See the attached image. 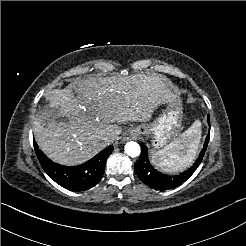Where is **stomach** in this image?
Segmentation results:
<instances>
[{"label":"stomach","mask_w":246,"mask_h":246,"mask_svg":"<svg viewBox=\"0 0 246 246\" xmlns=\"http://www.w3.org/2000/svg\"><path fill=\"white\" fill-rule=\"evenodd\" d=\"M181 111L178 105H169L151 124L138 126L143 136L152 137V145L161 148L167 144L175 129L180 126Z\"/></svg>","instance_id":"stomach-1"}]
</instances>
